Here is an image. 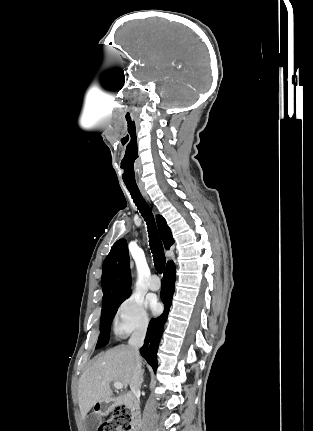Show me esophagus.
Segmentation results:
<instances>
[{
  "label": "esophagus",
  "mask_w": 313,
  "mask_h": 431,
  "mask_svg": "<svg viewBox=\"0 0 313 431\" xmlns=\"http://www.w3.org/2000/svg\"><path fill=\"white\" fill-rule=\"evenodd\" d=\"M141 193L146 198V200L150 201L149 196L144 189H141Z\"/></svg>",
  "instance_id": "1"
}]
</instances>
